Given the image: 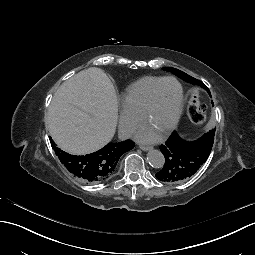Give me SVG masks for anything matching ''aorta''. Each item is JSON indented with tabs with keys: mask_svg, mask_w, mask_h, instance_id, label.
<instances>
[{
	"mask_svg": "<svg viewBox=\"0 0 255 255\" xmlns=\"http://www.w3.org/2000/svg\"><path fill=\"white\" fill-rule=\"evenodd\" d=\"M147 160L153 168H162L165 163L164 155L159 151L152 149L147 154Z\"/></svg>",
	"mask_w": 255,
	"mask_h": 255,
	"instance_id": "obj_1",
	"label": "aorta"
}]
</instances>
